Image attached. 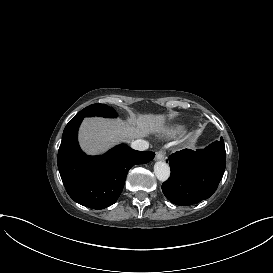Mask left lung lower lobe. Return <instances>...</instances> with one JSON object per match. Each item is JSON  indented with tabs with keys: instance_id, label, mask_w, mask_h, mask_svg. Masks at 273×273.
I'll list each match as a JSON object with an SVG mask.
<instances>
[{
	"instance_id": "obj_1",
	"label": "left lung lower lobe",
	"mask_w": 273,
	"mask_h": 273,
	"mask_svg": "<svg viewBox=\"0 0 273 273\" xmlns=\"http://www.w3.org/2000/svg\"><path fill=\"white\" fill-rule=\"evenodd\" d=\"M171 176L162 184L166 198L176 205H193L217 189L226 167L223 138L203 150L184 149L169 156Z\"/></svg>"
}]
</instances>
